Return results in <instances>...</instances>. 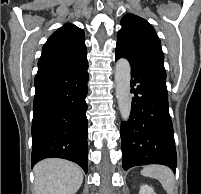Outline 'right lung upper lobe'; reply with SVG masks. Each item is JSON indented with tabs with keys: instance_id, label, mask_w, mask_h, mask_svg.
I'll use <instances>...</instances> for the list:
<instances>
[{
	"instance_id": "obj_1",
	"label": "right lung upper lobe",
	"mask_w": 201,
	"mask_h": 194,
	"mask_svg": "<svg viewBox=\"0 0 201 194\" xmlns=\"http://www.w3.org/2000/svg\"><path fill=\"white\" fill-rule=\"evenodd\" d=\"M84 32L73 24H65L54 32L43 46L38 72H64L88 64Z\"/></svg>"
}]
</instances>
